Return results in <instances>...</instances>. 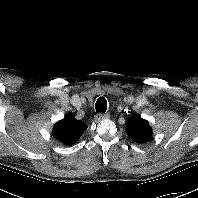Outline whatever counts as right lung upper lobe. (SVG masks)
Masks as SVG:
<instances>
[{"label":"right lung upper lobe","mask_w":198,"mask_h":198,"mask_svg":"<svg viewBox=\"0 0 198 198\" xmlns=\"http://www.w3.org/2000/svg\"><path fill=\"white\" fill-rule=\"evenodd\" d=\"M88 125L82 120H77L73 115H66L58 121L53 128V136L65 145H73L78 141Z\"/></svg>","instance_id":"obj_1"}]
</instances>
